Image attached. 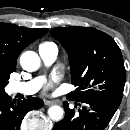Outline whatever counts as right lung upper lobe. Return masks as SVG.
Segmentation results:
<instances>
[{
  "mask_svg": "<svg viewBox=\"0 0 130 130\" xmlns=\"http://www.w3.org/2000/svg\"><path fill=\"white\" fill-rule=\"evenodd\" d=\"M47 32L45 28L30 29L0 23V74L10 76L16 69V61L21 51Z\"/></svg>",
  "mask_w": 130,
  "mask_h": 130,
  "instance_id": "obj_1",
  "label": "right lung upper lobe"
}]
</instances>
